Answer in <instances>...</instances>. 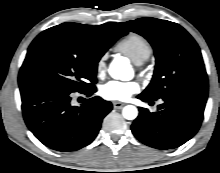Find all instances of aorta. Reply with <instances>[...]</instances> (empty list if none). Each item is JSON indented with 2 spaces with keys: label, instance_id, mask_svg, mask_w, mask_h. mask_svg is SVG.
Here are the masks:
<instances>
[{
  "label": "aorta",
  "instance_id": "1",
  "mask_svg": "<svg viewBox=\"0 0 220 173\" xmlns=\"http://www.w3.org/2000/svg\"><path fill=\"white\" fill-rule=\"evenodd\" d=\"M109 74L114 79L129 80L132 77V70L123 58H119L110 64ZM122 114L125 119L134 120L138 116V110L133 105H127L123 108Z\"/></svg>",
  "mask_w": 220,
  "mask_h": 173
}]
</instances>
